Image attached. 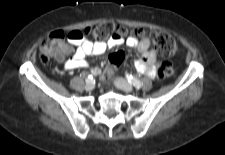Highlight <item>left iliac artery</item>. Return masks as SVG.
Returning <instances> with one entry per match:
<instances>
[{
  "instance_id": "44dca946",
  "label": "left iliac artery",
  "mask_w": 225,
  "mask_h": 155,
  "mask_svg": "<svg viewBox=\"0 0 225 155\" xmlns=\"http://www.w3.org/2000/svg\"><path fill=\"white\" fill-rule=\"evenodd\" d=\"M127 79L129 81V83L132 84L137 89H140L142 87L141 81L139 79H137L136 77H134L132 75H127Z\"/></svg>"
}]
</instances>
